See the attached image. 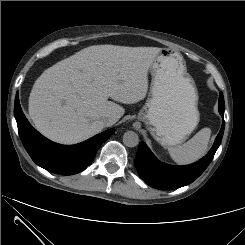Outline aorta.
Instances as JSON below:
<instances>
[{
	"label": "aorta",
	"mask_w": 245,
	"mask_h": 245,
	"mask_svg": "<svg viewBox=\"0 0 245 245\" xmlns=\"http://www.w3.org/2000/svg\"><path fill=\"white\" fill-rule=\"evenodd\" d=\"M123 143L127 147H135L139 143L138 134L134 131H127L123 135Z\"/></svg>",
	"instance_id": "obj_1"
}]
</instances>
